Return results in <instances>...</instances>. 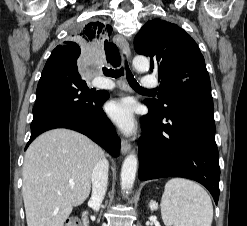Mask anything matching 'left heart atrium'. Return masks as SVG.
Wrapping results in <instances>:
<instances>
[{"label":"left heart atrium","instance_id":"1","mask_svg":"<svg viewBox=\"0 0 247 226\" xmlns=\"http://www.w3.org/2000/svg\"><path fill=\"white\" fill-rule=\"evenodd\" d=\"M107 112L113 122L124 132L130 133L135 127L133 104L128 99L114 100L109 103Z\"/></svg>","mask_w":247,"mask_h":226}]
</instances>
